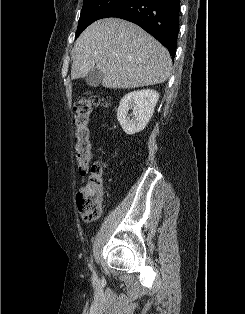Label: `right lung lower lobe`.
<instances>
[{"mask_svg":"<svg viewBox=\"0 0 245 314\" xmlns=\"http://www.w3.org/2000/svg\"><path fill=\"white\" fill-rule=\"evenodd\" d=\"M180 0H127L103 18L131 21L155 37L174 58L179 32Z\"/></svg>","mask_w":245,"mask_h":314,"instance_id":"98d812e1","label":"right lung lower lobe"}]
</instances>
